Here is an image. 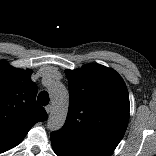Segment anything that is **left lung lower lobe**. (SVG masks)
Returning a JSON list of instances; mask_svg holds the SVG:
<instances>
[{
	"label": "left lung lower lobe",
	"instance_id": "left-lung-lower-lobe-1",
	"mask_svg": "<svg viewBox=\"0 0 156 156\" xmlns=\"http://www.w3.org/2000/svg\"><path fill=\"white\" fill-rule=\"evenodd\" d=\"M51 141L57 156H106L98 151L73 143L55 132L51 133Z\"/></svg>",
	"mask_w": 156,
	"mask_h": 156
}]
</instances>
